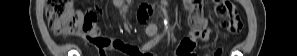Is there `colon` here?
Returning <instances> with one entry per match:
<instances>
[{
  "instance_id": "obj_1",
  "label": "colon",
  "mask_w": 297,
  "mask_h": 56,
  "mask_svg": "<svg viewBox=\"0 0 297 56\" xmlns=\"http://www.w3.org/2000/svg\"><path fill=\"white\" fill-rule=\"evenodd\" d=\"M214 13L219 18L220 27L231 33L241 31V17L233 3L226 0L214 1ZM46 16L49 27L58 36L82 35L85 37V33H99L98 10L95 8L86 7L80 10L76 9L73 1L70 0H48ZM214 55L220 56L221 50L218 49Z\"/></svg>"
}]
</instances>
